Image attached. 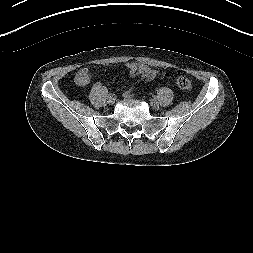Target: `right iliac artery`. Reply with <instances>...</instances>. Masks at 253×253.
<instances>
[{
  "label": "right iliac artery",
  "instance_id": "right-iliac-artery-1",
  "mask_svg": "<svg viewBox=\"0 0 253 253\" xmlns=\"http://www.w3.org/2000/svg\"><path fill=\"white\" fill-rule=\"evenodd\" d=\"M112 96H113V94H112V93H110V94H109V97H112Z\"/></svg>",
  "mask_w": 253,
  "mask_h": 253
}]
</instances>
